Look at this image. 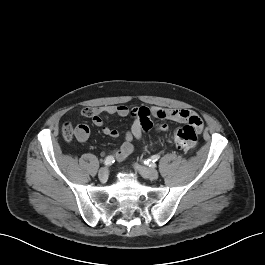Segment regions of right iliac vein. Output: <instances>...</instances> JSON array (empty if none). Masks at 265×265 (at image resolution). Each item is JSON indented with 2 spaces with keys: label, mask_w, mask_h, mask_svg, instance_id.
<instances>
[{
  "label": "right iliac vein",
  "mask_w": 265,
  "mask_h": 265,
  "mask_svg": "<svg viewBox=\"0 0 265 265\" xmlns=\"http://www.w3.org/2000/svg\"><path fill=\"white\" fill-rule=\"evenodd\" d=\"M98 177L102 182H105L108 179V169L107 168L100 169Z\"/></svg>",
  "instance_id": "1"
}]
</instances>
